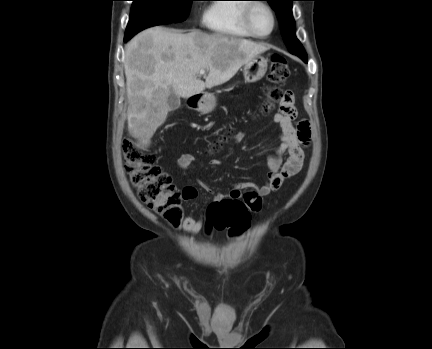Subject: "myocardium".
Returning <instances> with one entry per match:
<instances>
[{
    "label": "myocardium",
    "mask_w": 432,
    "mask_h": 349,
    "mask_svg": "<svg viewBox=\"0 0 432 349\" xmlns=\"http://www.w3.org/2000/svg\"><path fill=\"white\" fill-rule=\"evenodd\" d=\"M257 6L265 7L269 11V13L272 17V27H271L270 31L264 35L259 34L255 31V29L252 25V21H251L252 12ZM242 23H243L244 28L248 31V33L252 37H255L257 39H266L274 32L276 25H277V17H276V13H275L274 9L267 2L254 1V2H250V3L246 4V6L244 7L243 14H242Z\"/></svg>",
    "instance_id": "obj_1"
}]
</instances>
